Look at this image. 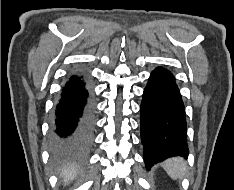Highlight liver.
<instances>
[{
  "label": "liver",
  "instance_id": "6515ba94",
  "mask_svg": "<svg viewBox=\"0 0 234 190\" xmlns=\"http://www.w3.org/2000/svg\"><path fill=\"white\" fill-rule=\"evenodd\" d=\"M77 175V171L74 167L64 168L60 173V177L65 179V182L72 180Z\"/></svg>",
  "mask_w": 234,
  "mask_h": 190
}]
</instances>
